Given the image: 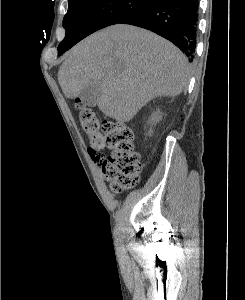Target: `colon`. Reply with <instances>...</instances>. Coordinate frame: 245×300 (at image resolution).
Returning a JSON list of instances; mask_svg holds the SVG:
<instances>
[{
  "mask_svg": "<svg viewBox=\"0 0 245 300\" xmlns=\"http://www.w3.org/2000/svg\"><path fill=\"white\" fill-rule=\"evenodd\" d=\"M79 120L83 131L89 135L91 157L101 166L104 176L115 192L136 186L140 180V155L135 151L130 128L110 119L100 122L95 113L77 101ZM111 151L107 157L100 153Z\"/></svg>",
  "mask_w": 245,
  "mask_h": 300,
  "instance_id": "1",
  "label": "colon"
}]
</instances>
